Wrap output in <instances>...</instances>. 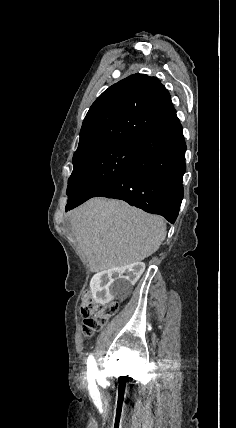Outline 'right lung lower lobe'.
<instances>
[{"label": "right lung lower lobe", "instance_id": "obj_1", "mask_svg": "<svg viewBox=\"0 0 236 428\" xmlns=\"http://www.w3.org/2000/svg\"><path fill=\"white\" fill-rule=\"evenodd\" d=\"M138 140L137 154L96 196L124 200L174 223L183 199L186 169V144L177 115Z\"/></svg>", "mask_w": 236, "mask_h": 428}]
</instances>
